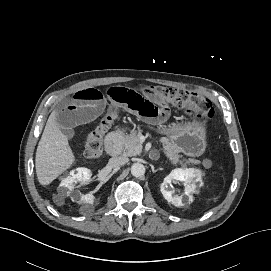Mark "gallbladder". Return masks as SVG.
Returning <instances> with one entry per match:
<instances>
[{"instance_id":"bac80fb5","label":"gallbladder","mask_w":271,"mask_h":271,"mask_svg":"<svg viewBox=\"0 0 271 271\" xmlns=\"http://www.w3.org/2000/svg\"><path fill=\"white\" fill-rule=\"evenodd\" d=\"M62 132L68 139H72L75 135L74 130L72 128H68V127H63Z\"/></svg>"}]
</instances>
